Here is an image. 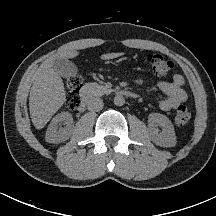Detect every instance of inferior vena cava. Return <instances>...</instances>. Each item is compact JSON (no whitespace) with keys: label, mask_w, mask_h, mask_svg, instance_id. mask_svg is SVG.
I'll return each instance as SVG.
<instances>
[{"label":"inferior vena cava","mask_w":216,"mask_h":216,"mask_svg":"<svg viewBox=\"0 0 216 216\" xmlns=\"http://www.w3.org/2000/svg\"><path fill=\"white\" fill-rule=\"evenodd\" d=\"M103 105V100L99 97H93L89 99L87 103V107L90 111H100Z\"/></svg>","instance_id":"inferior-vena-cava-1"}]
</instances>
